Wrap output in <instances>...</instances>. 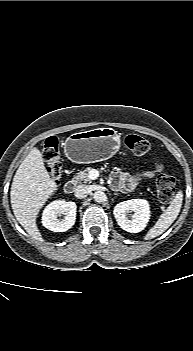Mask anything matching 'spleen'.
I'll return each instance as SVG.
<instances>
[{"instance_id":"3e777b00","label":"spleen","mask_w":193,"mask_h":351,"mask_svg":"<svg viewBox=\"0 0 193 351\" xmlns=\"http://www.w3.org/2000/svg\"><path fill=\"white\" fill-rule=\"evenodd\" d=\"M182 201L183 193L180 190L174 196V199L171 201L167 209L160 215L155 225L152 228H150L147 234L144 236L145 240H150L161 235L171 226V224L176 220L177 216L179 215L182 206Z\"/></svg>"}]
</instances>
